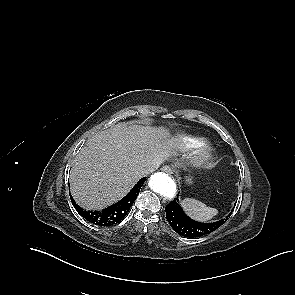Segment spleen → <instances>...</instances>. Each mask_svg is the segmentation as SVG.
I'll list each match as a JSON object with an SVG mask.
<instances>
[{
  "label": "spleen",
  "instance_id": "obj_1",
  "mask_svg": "<svg viewBox=\"0 0 295 295\" xmlns=\"http://www.w3.org/2000/svg\"><path fill=\"white\" fill-rule=\"evenodd\" d=\"M182 207L189 216L198 221H207L218 213L217 209L192 198H185L182 201Z\"/></svg>",
  "mask_w": 295,
  "mask_h": 295
}]
</instances>
